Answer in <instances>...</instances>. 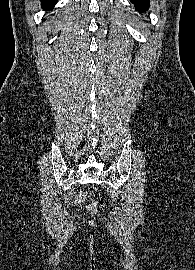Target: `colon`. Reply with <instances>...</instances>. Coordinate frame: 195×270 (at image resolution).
I'll return each mask as SVG.
<instances>
[{
    "mask_svg": "<svg viewBox=\"0 0 195 270\" xmlns=\"http://www.w3.org/2000/svg\"><path fill=\"white\" fill-rule=\"evenodd\" d=\"M77 202L86 207L90 213H96L98 211V204L96 201L90 199L87 195L81 194L77 197Z\"/></svg>",
    "mask_w": 195,
    "mask_h": 270,
    "instance_id": "colon-1",
    "label": "colon"
}]
</instances>
